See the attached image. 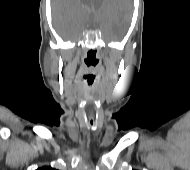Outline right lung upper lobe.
I'll list each match as a JSON object with an SVG mask.
<instances>
[{
  "instance_id": "1",
  "label": "right lung upper lobe",
  "mask_w": 190,
  "mask_h": 170,
  "mask_svg": "<svg viewBox=\"0 0 190 170\" xmlns=\"http://www.w3.org/2000/svg\"><path fill=\"white\" fill-rule=\"evenodd\" d=\"M37 170H56L50 166H44V167H41V168H38Z\"/></svg>"
}]
</instances>
